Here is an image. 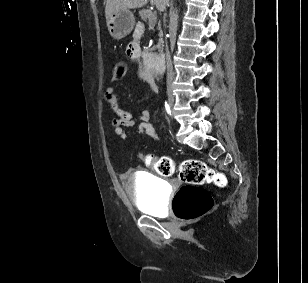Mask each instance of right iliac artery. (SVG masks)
I'll return each instance as SVG.
<instances>
[{
	"instance_id": "right-iliac-artery-1",
	"label": "right iliac artery",
	"mask_w": 308,
	"mask_h": 283,
	"mask_svg": "<svg viewBox=\"0 0 308 283\" xmlns=\"http://www.w3.org/2000/svg\"><path fill=\"white\" fill-rule=\"evenodd\" d=\"M165 106H166L167 113L170 115L171 114V110H170L169 105H168L167 102H165Z\"/></svg>"
}]
</instances>
